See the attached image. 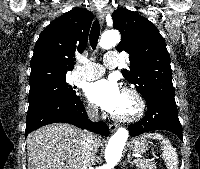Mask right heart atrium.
Returning <instances> with one entry per match:
<instances>
[{
    "label": "right heart atrium",
    "instance_id": "right-heart-atrium-1",
    "mask_svg": "<svg viewBox=\"0 0 200 169\" xmlns=\"http://www.w3.org/2000/svg\"><path fill=\"white\" fill-rule=\"evenodd\" d=\"M85 112H86L87 116H89L91 118H95L98 113L97 108L91 103L86 104Z\"/></svg>",
    "mask_w": 200,
    "mask_h": 169
}]
</instances>
